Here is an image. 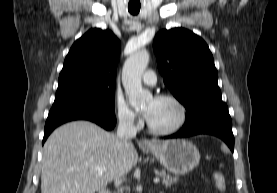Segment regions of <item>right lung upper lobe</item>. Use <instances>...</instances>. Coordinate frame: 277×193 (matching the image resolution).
Returning a JSON list of instances; mask_svg holds the SVG:
<instances>
[{"instance_id": "obj_1", "label": "right lung upper lobe", "mask_w": 277, "mask_h": 193, "mask_svg": "<svg viewBox=\"0 0 277 193\" xmlns=\"http://www.w3.org/2000/svg\"><path fill=\"white\" fill-rule=\"evenodd\" d=\"M121 44L109 30L90 29L71 47L59 75V91L114 86Z\"/></svg>"}]
</instances>
